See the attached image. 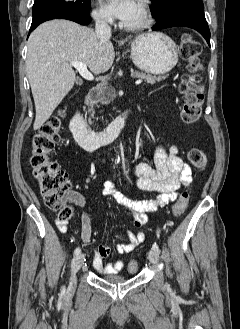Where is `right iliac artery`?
I'll use <instances>...</instances> for the list:
<instances>
[{"label": "right iliac artery", "instance_id": "1", "mask_svg": "<svg viewBox=\"0 0 240 329\" xmlns=\"http://www.w3.org/2000/svg\"><path fill=\"white\" fill-rule=\"evenodd\" d=\"M80 252H81L80 248H76L75 251H74V256L79 255Z\"/></svg>", "mask_w": 240, "mask_h": 329}]
</instances>
